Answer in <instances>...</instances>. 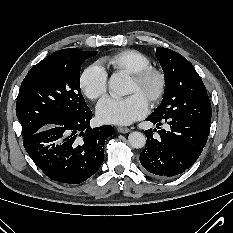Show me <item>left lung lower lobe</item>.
Listing matches in <instances>:
<instances>
[{
	"label": "left lung lower lobe",
	"instance_id": "obj_1",
	"mask_svg": "<svg viewBox=\"0 0 233 233\" xmlns=\"http://www.w3.org/2000/svg\"><path fill=\"white\" fill-rule=\"evenodd\" d=\"M146 120L156 124L160 135L153 137L156 128L145 131L147 141L139 159L147 171L171 177L195 163L207 143L210 122L184 114L162 118L150 115ZM161 122L169 124V130L161 129Z\"/></svg>",
	"mask_w": 233,
	"mask_h": 233
}]
</instances>
